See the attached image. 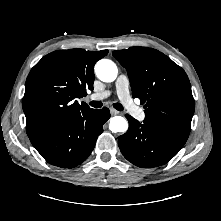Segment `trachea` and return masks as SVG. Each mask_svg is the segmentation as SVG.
Listing matches in <instances>:
<instances>
[{
  "mask_svg": "<svg viewBox=\"0 0 221 221\" xmlns=\"http://www.w3.org/2000/svg\"><path fill=\"white\" fill-rule=\"evenodd\" d=\"M90 105L94 108H100V107H102V102L101 101H91ZM113 107L118 111L124 110L123 106L120 103H114Z\"/></svg>",
  "mask_w": 221,
  "mask_h": 221,
  "instance_id": "3493384b",
  "label": "trachea"
}]
</instances>
